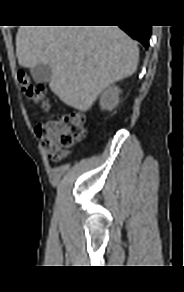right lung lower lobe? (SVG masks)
Wrapping results in <instances>:
<instances>
[{
  "mask_svg": "<svg viewBox=\"0 0 184 292\" xmlns=\"http://www.w3.org/2000/svg\"><path fill=\"white\" fill-rule=\"evenodd\" d=\"M129 36L138 40L147 49L149 46V38L151 35V26H120Z\"/></svg>",
  "mask_w": 184,
  "mask_h": 292,
  "instance_id": "obj_1",
  "label": "right lung lower lobe"
}]
</instances>
